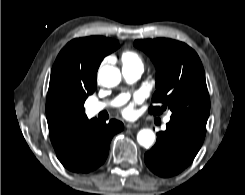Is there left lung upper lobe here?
Listing matches in <instances>:
<instances>
[{
    "label": "left lung upper lobe",
    "mask_w": 245,
    "mask_h": 195,
    "mask_svg": "<svg viewBox=\"0 0 245 195\" xmlns=\"http://www.w3.org/2000/svg\"><path fill=\"white\" fill-rule=\"evenodd\" d=\"M134 45L147 53L156 66L153 115L170 110V119L206 126L210 99L205 72L197 53L188 45L167 38L136 40Z\"/></svg>",
    "instance_id": "5c2ea615"
}]
</instances>
